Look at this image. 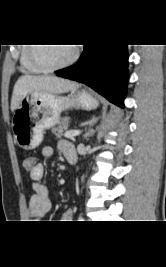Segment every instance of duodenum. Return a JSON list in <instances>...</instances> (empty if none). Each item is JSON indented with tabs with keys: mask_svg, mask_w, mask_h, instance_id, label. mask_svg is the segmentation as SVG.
Returning a JSON list of instances; mask_svg holds the SVG:
<instances>
[{
	"mask_svg": "<svg viewBox=\"0 0 166 267\" xmlns=\"http://www.w3.org/2000/svg\"><path fill=\"white\" fill-rule=\"evenodd\" d=\"M68 161H69L70 164L73 165V164L76 163V158H75V157H69V158H68Z\"/></svg>",
	"mask_w": 166,
	"mask_h": 267,
	"instance_id": "duodenum-1",
	"label": "duodenum"
}]
</instances>
